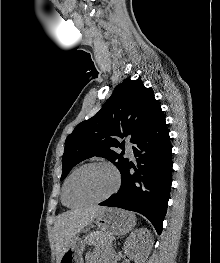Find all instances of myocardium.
Here are the masks:
<instances>
[{"label": "myocardium", "instance_id": "1", "mask_svg": "<svg viewBox=\"0 0 220 263\" xmlns=\"http://www.w3.org/2000/svg\"><path fill=\"white\" fill-rule=\"evenodd\" d=\"M90 166H104V167L108 168L113 173V176H114V185H113V187L111 188V190L108 193H106L105 195H103L100 198H97V199H94V200H90V201H86V202H83V203H78V204L70 203L68 201L67 193H68V187H69V183H70L71 179L73 178V176L77 172H79L80 170H82L84 168L90 167ZM120 185H121L120 173L112 164H110L109 162H106V161H92V162H88V163H85V164L79 166L78 168H76L68 176V178L66 179L64 187H63V194H62L63 202H64L65 205H67L69 207H74V208H76V207H83V206H87V205L98 204V203L106 201L111 196H113L118 191Z\"/></svg>", "mask_w": 220, "mask_h": 263}]
</instances>
